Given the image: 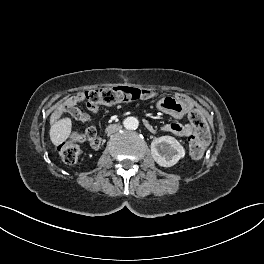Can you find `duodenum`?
<instances>
[{
    "label": "duodenum",
    "instance_id": "1",
    "mask_svg": "<svg viewBox=\"0 0 264 264\" xmlns=\"http://www.w3.org/2000/svg\"><path fill=\"white\" fill-rule=\"evenodd\" d=\"M112 128V126H110L108 129H111Z\"/></svg>",
    "mask_w": 264,
    "mask_h": 264
}]
</instances>
